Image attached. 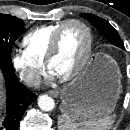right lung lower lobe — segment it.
Segmentation results:
<instances>
[{"label": "right lung lower lobe", "mask_w": 130, "mask_h": 130, "mask_svg": "<svg viewBox=\"0 0 130 130\" xmlns=\"http://www.w3.org/2000/svg\"><path fill=\"white\" fill-rule=\"evenodd\" d=\"M6 84V117L0 130H18L19 122L27 107L36 100L37 96L21 84L13 69L0 64Z\"/></svg>", "instance_id": "right-lung-lower-lobe-1"}]
</instances>
